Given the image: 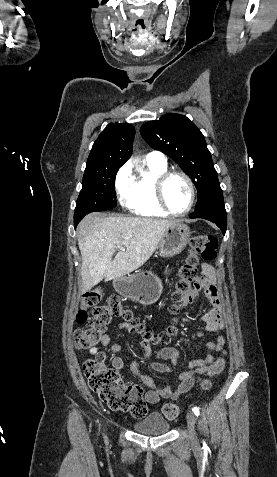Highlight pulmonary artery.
<instances>
[{"instance_id":"pulmonary-artery-1","label":"pulmonary artery","mask_w":277,"mask_h":477,"mask_svg":"<svg viewBox=\"0 0 277 477\" xmlns=\"http://www.w3.org/2000/svg\"><path fill=\"white\" fill-rule=\"evenodd\" d=\"M146 160L159 164H166V159L163 153L159 151H151L146 155Z\"/></svg>"}]
</instances>
